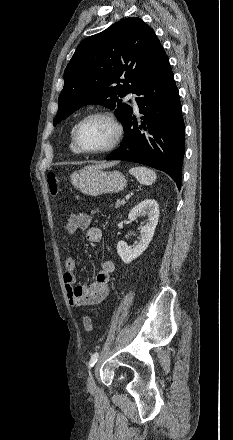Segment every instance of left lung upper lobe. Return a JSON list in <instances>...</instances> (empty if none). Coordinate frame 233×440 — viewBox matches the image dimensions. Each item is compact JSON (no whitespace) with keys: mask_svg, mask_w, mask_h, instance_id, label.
<instances>
[{"mask_svg":"<svg viewBox=\"0 0 233 440\" xmlns=\"http://www.w3.org/2000/svg\"><path fill=\"white\" fill-rule=\"evenodd\" d=\"M162 51L153 30L139 18L121 20L83 40L64 71L54 126L87 104L115 109L125 125L132 108L119 97L136 92Z\"/></svg>","mask_w":233,"mask_h":440,"instance_id":"1","label":"left lung upper lobe"}]
</instances>
